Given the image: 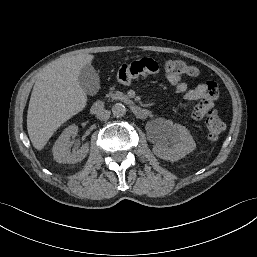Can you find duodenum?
<instances>
[{
    "instance_id": "duodenum-1",
    "label": "duodenum",
    "mask_w": 257,
    "mask_h": 257,
    "mask_svg": "<svg viewBox=\"0 0 257 257\" xmlns=\"http://www.w3.org/2000/svg\"><path fill=\"white\" fill-rule=\"evenodd\" d=\"M126 102L129 104L131 111L134 113V115L140 119H145L150 116V111L144 107H141L137 104H134L130 102L129 100H126ZM105 104L103 101H97L94 103L92 107V112L94 114H97L101 112L104 108Z\"/></svg>"
}]
</instances>
